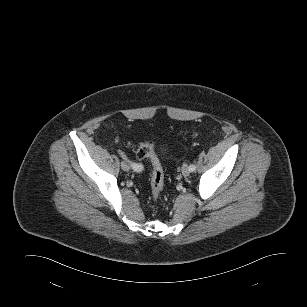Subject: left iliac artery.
<instances>
[{"instance_id":"1","label":"left iliac artery","mask_w":307,"mask_h":307,"mask_svg":"<svg viewBox=\"0 0 307 307\" xmlns=\"http://www.w3.org/2000/svg\"><path fill=\"white\" fill-rule=\"evenodd\" d=\"M189 168L191 172H194L196 170V166L194 164H191Z\"/></svg>"}]
</instances>
